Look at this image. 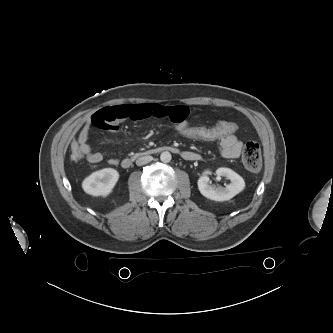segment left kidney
Masks as SVG:
<instances>
[{
  "label": "left kidney",
  "mask_w": 333,
  "mask_h": 333,
  "mask_svg": "<svg viewBox=\"0 0 333 333\" xmlns=\"http://www.w3.org/2000/svg\"><path fill=\"white\" fill-rule=\"evenodd\" d=\"M205 172V174H207ZM218 176H224L231 182L226 187L215 186L209 184V178L203 175L198 180V188L200 193L214 201H227L239 194L245 188L244 179L229 168H218L216 170Z\"/></svg>",
  "instance_id": "left-kidney-1"
}]
</instances>
